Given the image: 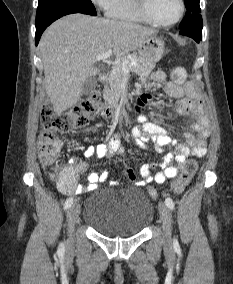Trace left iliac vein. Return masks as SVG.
<instances>
[{"mask_svg": "<svg viewBox=\"0 0 233 284\" xmlns=\"http://www.w3.org/2000/svg\"><path fill=\"white\" fill-rule=\"evenodd\" d=\"M158 210L163 223L164 243L168 245L171 242V212L168 206L163 202L159 203Z\"/></svg>", "mask_w": 233, "mask_h": 284, "instance_id": "left-iliac-vein-1", "label": "left iliac vein"}]
</instances>
